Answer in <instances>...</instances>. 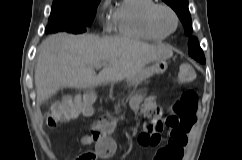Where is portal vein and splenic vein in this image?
<instances>
[{"mask_svg": "<svg viewBox=\"0 0 242 160\" xmlns=\"http://www.w3.org/2000/svg\"><path fill=\"white\" fill-rule=\"evenodd\" d=\"M101 66H103V65H98V66H96V67H101Z\"/></svg>", "mask_w": 242, "mask_h": 160, "instance_id": "portal-vein-and-splenic-vein-1", "label": "portal vein and splenic vein"}]
</instances>
